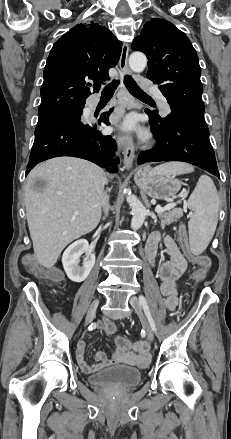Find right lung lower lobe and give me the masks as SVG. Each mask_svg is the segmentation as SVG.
Segmentation results:
<instances>
[{
	"label": "right lung lower lobe",
	"instance_id": "98d812e1",
	"mask_svg": "<svg viewBox=\"0 0 231 439\" xmlns=\"http://www.w3.org/2000/svg\"><path fill=\"white\" fill-rule=\"evenodd\" d=\"M112 111V110H111ZM111 111L101 115L94 124H84L80 116L49 122L35 129L26 175L38 163L58 156H73L94 162L108 172L118 171L117 160L112 161L116 141L110 135H102L98 127L102 123L110 125Z\"/></svg>",
	"mask_w": 231,
	"mask_h": 439
}]
</instances>
